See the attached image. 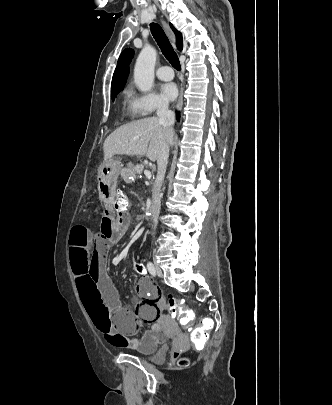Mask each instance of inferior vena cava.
Returning a JSON list of instances; mask_svg holds the SVG:
<instances>
[{
    "instance_id": "1",
    "label": "inferior vena cava",
    "mask_w": 332,
    "mask_h": 405,
    "mask_svg": "<svg viewBox=\"0 0 332 405\" xmlns=\"http://www.w3.org/2000/svg\"><path fill=\"white\" fill-rule=\"evenodd\" d=\"M157 117L159 123L164 127L167 134L173 133V125L175 121L174 113L169 110L168 101H160L157 106ZM169 157V143L165 140L160 151V154L157 159V177L155 180V184L152 189V203L150 212L152 214V219L154 222L157 221L160 213V188L162 186L167 163Z\"/></svg>"
}]
</instances>
